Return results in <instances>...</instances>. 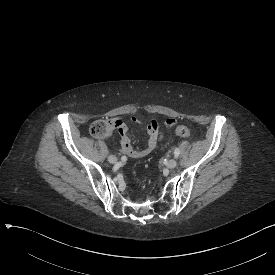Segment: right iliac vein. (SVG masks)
<instances>
[{
  "instance_id": "1",
  "label": "right iliac vein",
  "mask_w": 275,
  "mask_h": 275,
  "mask_svg": "<svg viewBox=\"0 0 275 275\" xmlns=\"http://www.w3.org/2000/svg\"><path fill=\"white\" fill-rule=\"evenodd\" d=\"M108 161L112 164L116 163L117 162V158L114 156V155H110L108 157Z\"/></svg>"
}]
</instances>
